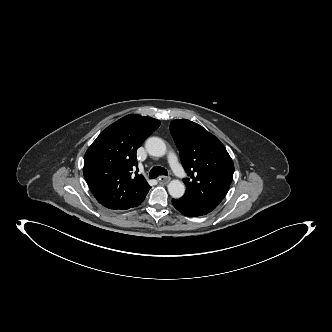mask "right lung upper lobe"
<instances>
[{
    "mask_svg": "<svg viewBox=\"0 0 332 332\" xmlns=\"http://www.w3.org/2000/svg\"><path fill=\"white\" fill-rule=\"evenodd\" d=\"M159 125L157 119L130 114L107 127L88 148L83 174L100 204L126 210L146 196L151 187L145 178L131 175L137 149Z\"/></svg>",
    "mask_w": 332,
    "mask_h": 332,
    "instance_id": "right-lung-upper-lobe-1",
    "label": "right lung upper lobe"
}]
</instances>
